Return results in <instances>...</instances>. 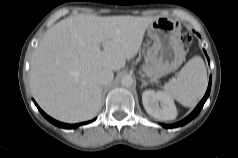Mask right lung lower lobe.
Here are the masks:
<instances>
[{
  "instance_id": "98d812e1",
  "label": "right lung lower lobe",
  "mask_w": 238,
  "mask_h": 158,
  "mask_svg": "<svg viewBox=\"0 0 238 158\" xmlns=\"http://www.w3.org/2000/svg\"><path fill=\"white\" fill-rule=\"evenodd\" d=\"M35 103V101H34ZM35 105L37 106L38 110L41 112V114L48 120L50 121L51 123H53L54 125L58 126V127H62V128H67V129H74L76 127H78L79 125H82L81 123L80 124H64V123H60L54 119H52L51 117H49L48 115H46L40 108L39 106L35 103ZM88 123V122H86ZM85 124V123H84Z\"/></svg>"
}]
</instances>
